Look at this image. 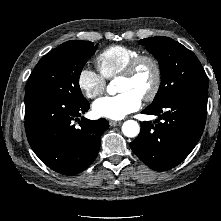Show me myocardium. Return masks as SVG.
Here are the masks:
<instances>
[{
	"instance_id": "f54148a6",
	"label": "myocardium",
	"mask_w": 221,
	"mask_h": 221,
	"mask_svg": "<svg viewBox=\"0 0 221 221\" xmlns=\"http://www.w3.org/2000/svg\"><path fill=\"white\" fill-rule=\"evenodd\" d=\"M145 63L149 64L153 68L154 81L149 92L144 94L141 98L146 102H150L156 98L162 85V67L157 58L148 54H140L127 64L119 76L122 78L131 79L136 75L139 68Z\"/></svg>"
}]
</instances>
